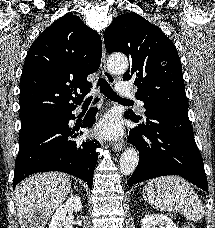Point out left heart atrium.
<instances>
[{
	"mask_svg": "<svg viewBox=\"0 0 215 228\" xmlns=\"http://www.w3.org/2000/svg\"><path fill=\"white\" fill-rule=\"evenodd\" d=\"M93 133L101 139H118L122 135V127L117 116L105 115L94 127Z\"/></svg>",
	"mask_w": 215,
	"mask_h": 228,
	"instance_id": "left-heart-atrium-1",
	"label": "left heart atrium"
}]
</instances>
